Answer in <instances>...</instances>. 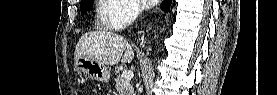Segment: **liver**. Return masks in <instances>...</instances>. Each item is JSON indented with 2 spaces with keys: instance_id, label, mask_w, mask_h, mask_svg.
<instances>
[{
  "instance_id": "obj_1",
  "label": "liver",
  "mask_w": 277,
  "mask_h": 95,
  "mask_svg": "<svg viewBox=\"0 0 277 95\" xmlns=\"http://www.w3.org/2000/svg\"><path fill=\"white\" fill-rule=\"evenodd\" d=\"M89 56L104 65H116L121 60L130 63L134 51L122 36L109 31H96L84 34L78 41L74 59Z\"/></svg>"
}]
</instances>
